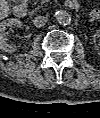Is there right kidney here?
<instances>
[{
    "mask_svg": "<svg viewBox=\"0 0 100 118\" xmlns=\"http://www.w3.org/2000/svg\"><path fill=\"white\" fill-rule=\"evenodd\" d=\"M21 22L18 19H6L0 22V49L4 52L13 53L16 51L17 46L13 44H7L9 32L8 27L20 26Z\"/></svg>",
    "mask_w": 100,
    "mask_h": 118,
    "instance_id": "obj_1",
    "label": "right kidney"
}]
</instances>
